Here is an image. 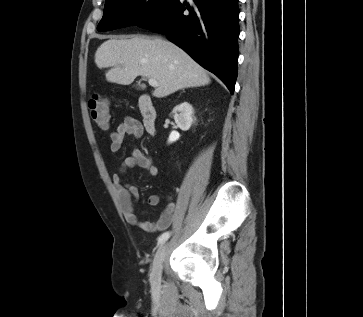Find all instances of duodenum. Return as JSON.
I'll list each match as a JSON object with an SVG mask.
<instances>
[{
	"label": "duodenum",
	"instance_id": "1",
	"mask_svg": "<svg viewBox=\"0 0 363 317\" xmlns=\"http://www.w3.org/2000/svg\"><path fill=\"white\" fill-rule=\"evenodd\" d=\"M138 108L142 116V122L145 130L154 135L157 132V113L150 96L144 94L138 100Z\"/></svg>",
	"mask_w": 363,
	"mask_h": 317
}]
</instances>
